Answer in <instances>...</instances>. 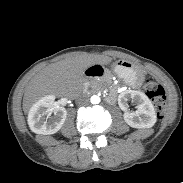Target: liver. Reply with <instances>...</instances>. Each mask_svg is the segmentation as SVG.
Returning <instances> with one entry per match:
<instances>
[{"mask_svg":"<svg viewBox=\"0 0 183 183\" xmlns=\"http://www.w3.org/2000/svg\"><path fill=\"white\" fill-rule=\"evenodd\" d=\"M112 58L103 55L81 54L50 64L37 73L25 89L23 109L28 112L32 105L48 94L64 95L68 88L80 87L84 72L94 64H108Z\"/></svg>","mask_w":183,"mask_h":183,"instance_id":"1","label":"liver"}]
</instances>
